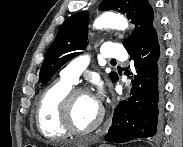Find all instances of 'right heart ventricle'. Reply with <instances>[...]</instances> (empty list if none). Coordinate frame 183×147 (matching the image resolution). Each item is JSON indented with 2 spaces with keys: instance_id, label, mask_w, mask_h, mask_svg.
<instances>
[{
  "instance_id": "obj_1",
  "label": "right heart ventricle",
  "mask_w": 183,
  "mask_h": 147,
  "mask_svg": "<svg viewBox=\"0 0 183 147\" xmlns=\"http://www.w3.org/2000/svg\"><path fill=\"white\" fill-rule=\"evenodd\" d=\"M72 88V83L60 79L46 87L39 98L36 107V123L40 133L48 139H61L69 134L60 122L59 106Z\"/></svg>"
}]
</instances>
